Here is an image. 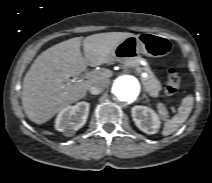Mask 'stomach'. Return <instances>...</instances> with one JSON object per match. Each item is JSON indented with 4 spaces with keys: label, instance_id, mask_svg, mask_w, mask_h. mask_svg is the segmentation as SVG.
<instances>
[{
    "label": "stomach",
    "instance_id": "1",
    "mask_svg": "<svg viewBox=\"0 0 212 183\" xmlns=\"http://www.w3.org/2000/svg\"><path fill=\"white\" fill-rule=\"evenodd\" d=\"M172 50L173 42L170 38L155 33H141L121 42L112 52L110 59L125 63L139 54L158 58L168 55Z\"/></svg>",
    "mask_w": 212,
    "mask_h": 183
}]
</instances>
